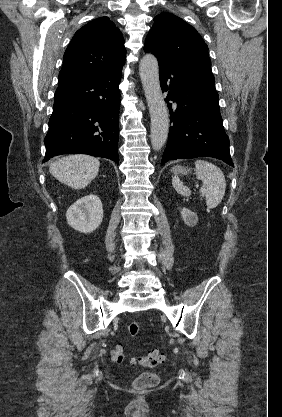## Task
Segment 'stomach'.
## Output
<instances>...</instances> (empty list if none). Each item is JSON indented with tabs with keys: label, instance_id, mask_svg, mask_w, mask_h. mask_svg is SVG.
Segmentation results:
<instances>
[{
	"label": "stomach",
	"instance_id": "1",
	"mask_svg": "<svg viewBox=\"0 0 282 417\" xmlns=\"http://www.w3.org/2000/svg\"><path fill=\"white\" fill-rule=\"evenodd\" d=\"M188 170H190V168H183V166H173L172 168L174 174H180V172H182V174H187Z\"/></svg>",
	"mask_w": 282,
	"mask_h": 417
}]
</instances>
